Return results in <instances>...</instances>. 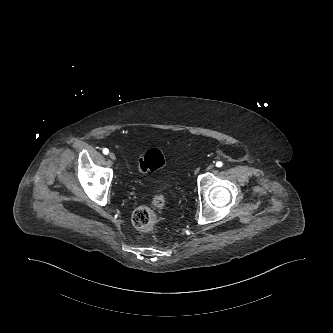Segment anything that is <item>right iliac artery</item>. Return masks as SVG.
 <instances>
[{
    "mask_svg": "<svg viewBox=\"0 0 333 333\" xmlns=\"http://www.w3.org/2000/svg\"><path fill=\"white\" fill-rule=\"evenodd\" d=\"M103 153H104L105 155H107V154L109 153V150H108L107 148H104V149H103Z\"/></svg>",
    "mask_w": 333,
    "mask_h": 333,
    "instance_id": "82829eb1",
    "label": "right iliac artery"
}]
</instances>
